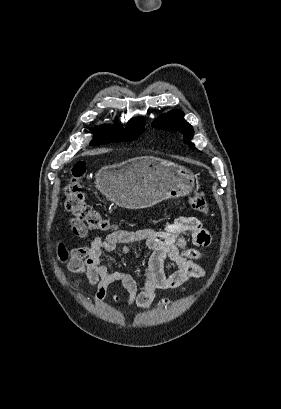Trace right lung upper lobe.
Segmentation results:
<instances>
[{
	"instance_id": "obj_1",
	"label": "right lung upper lobe",
	"mask_w": 281,
	"mask_h": 409,
	"mask_svg": "<svg viewBox=\"0 0 281 409\" xmlns=\"http://www.w3.org/2000/svg\"><path fill=\"white\" fill-rule=\"evenodd\" d=\"M141 125H144L142 118H135V119H132L131 121L128 122V127L141 126ZM100 128H122V127L119 126V125H115V126L105 125V126H102Z\"/></svg>"
}]
</instances>
